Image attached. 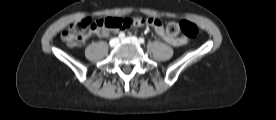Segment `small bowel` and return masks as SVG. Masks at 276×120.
Instances as JSON below:
<instances>
[{"label":"small bowel","instance_id":"c3829d8e","mask_svg":"<svg viewBox=\"0 0 276 120\" xmlns=\"http://www.w3.org/2000/svg\"><path fill=\"white\" fill-rule=\"evenodd\" d=\"M156 31V33L167 43L173 45V46H181L185 44V39L182 37H176V36H170L162 22L158 19L153 25H152ZM99 35L101 36H107L108 35V31L107 30H103V31H98L97 32ZM88 38V35L85 36V38L82 41H85Z\"/></svg>","mask_w":276,"mask_h":120}]
</instances>
